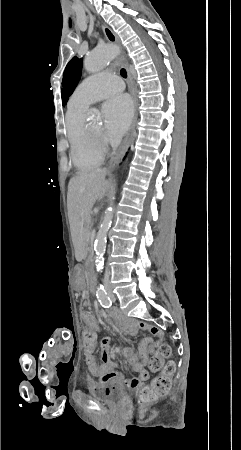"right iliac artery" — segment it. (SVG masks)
Listing matches in <instances>:
<instances>
[{"mask_svg":"<svg viewBox=\"0 0 241 450\" xmlns=\"http://www.w3.org/2000/svg\"><path fill=\"white\" fill-rule=\"evenodd\" d=\"M97 299L100 302V304L103 307L109 308L112 305V301L110 300V297L108 296L106 290L104 288H100L97 291Z\"/></svg>","mask_w":241,"mask_h":450,"instance_id":"82829eb1","label":"right iliac artery"}]
</instances>
